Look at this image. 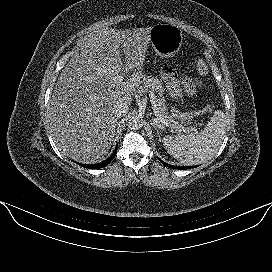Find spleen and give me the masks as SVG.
Returning a JSON list of instances; mask_svg holds the SVG:
<instances>
[{
  "mask_svg": "<svg viewBox=\"0 0 272 272\" xmlns=\"http://www.w3.org/2000/svg\"><path fill=\"white\" fill-rule=\"evenodd\" d=\"M225 129V114L217 110L200 133L166 135L163 145L182 164H201L215 156L224 139Z\"/></svg>",
  "mask_w": 272,
  "mask_h": 272,
  "instance_id": "1",
  "label": "spleen"
}]
</instances>
